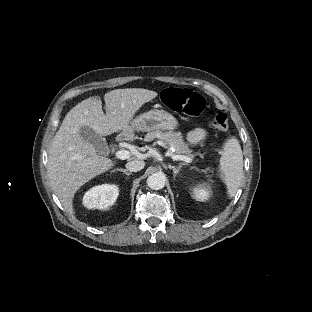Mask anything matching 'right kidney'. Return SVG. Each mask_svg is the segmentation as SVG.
Instances as JSON below:
<instances>
[{"instance_id":"ca27d5eb","label":"right kidney","mask_w":312,"mask_h":312,"mask_svg":"<svg viewBox=\"0 0 312 312\" xmlns=\"http://www.w3.org/2000/svg\"><path fill=\"white\" fill-rule=\"evenodd\" d=\"M118 197V188L114 185H101L89 190L84 198V206L92 209H106L112 206Z\"/></svg>"}]
</instances>
